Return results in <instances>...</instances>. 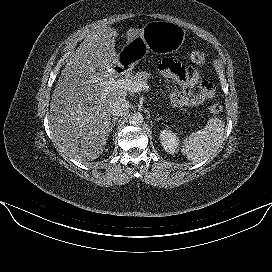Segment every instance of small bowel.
Returning a JSON list of instances; mask_svg holds the SVG:
<instances>
[{
    "instance_id": "1",
    "label": "small bowel",
    "mask_w": 272,
    "mask_h": 272,
    "mask_svg": "<svg viewBox=\"0 0 272 272\" xmlns=\"http://www.w3.org/2000/svg\"><path fill=\"white\" fill-rule=\"evenodd\" d=\"M159 69L167 81L175 84L170 101L176 107L198 106L214 95V85L202 80L197 68H185L172 59H163Z\"/></svg>"
}]
</instances>
